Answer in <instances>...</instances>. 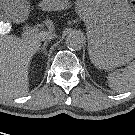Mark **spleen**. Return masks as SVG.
I'll use <instances>...</instances> for the list:
<instances>
[{"label": "spleen", "mask_w": 135, "mask_h": 135, "mask_svg": "<svg viewBox=\"0 0 135 135\" xmlns=\"http://www.w3.org/2000/svg\"><path fill=\"white\" fill-rule=\"evenodd\" d=\"M107 80L109 87L116 92H125L135 87V60L122 73H110Z\"/></svg>", "instance_id": "3e777b00"}]
</instances>
